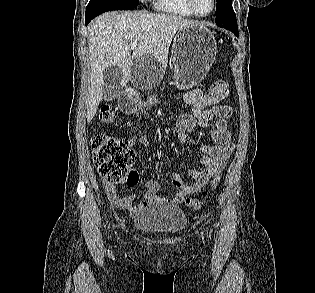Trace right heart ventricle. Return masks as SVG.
Here are the masks:
<instances>
[{
	"mask_svg": "<svg viewBox=\"0 0 315 293\" xmlns=\"http://www.w3.org/2000/svg\"><path fill=\"white\" fill-rule=\"evenodd\" d=\"M155 6L159 11L177 17H196L191 11L187 0H155Z\"/></svg>",
	"mask_w": 315,
	"mask_h": 293,
	"instance_id": "right-heart-ventricle-1",
	"label": "right heart ventricle"
}]
</instances>
